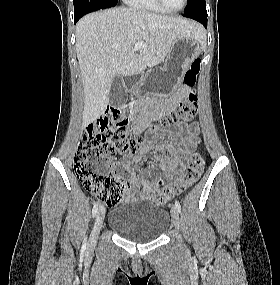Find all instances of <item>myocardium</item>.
Here are the masks:
<instances>
[{
    "mask_svg": "<svg viewBox=\"0 0 280 285\" xmlns=\"http://www.w3.org/2000/svg\"><path fill=\"white\" fill-rule=\"evenodd\" d=\"M156 2L158 3V5H159L165 12H168V13H178V12L182 11V10L186 7L188 0H183V3H182V5H181V7H179L178 9H175V10L169 9V8L165 5V3H164L163 0H156Z\"/></svg>",
    "mask_w": 280,
    "mask_h": 285,
    "instance_id": "f54148a6",
    "label": "myocardium"
}]
</instances>
